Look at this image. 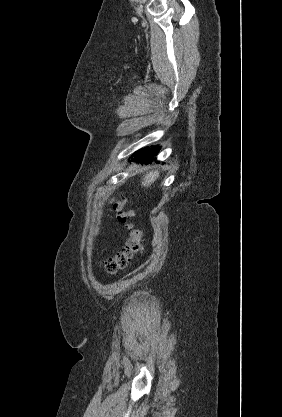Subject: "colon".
Here are the masks:
<instances>
[{
  "instance_id": "1",
  "label": "colon",
  "mask_w": 282,
  "mask_h": 417,
  "mask_svg": "<svg viewBox=\"0 0 282 417\" xmlns=\"http://www.w3.org/2000/svg\"><path fill=\"white\" fill-rule=\"evenodd\" d=\"M117 211L119 213V219L121 223L126 224L129 229V233L126 239L125 246L115 258L108 259L104 262V268L108 273H114L120 269L125 268L131 263L134 258L142 252V231L130 223V219L134 216L132 210L126 208V199L123 196H115L113 198Z\"/></svg>"
}]
</instances>
